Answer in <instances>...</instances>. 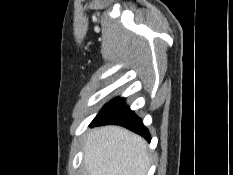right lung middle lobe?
<instances>
[{"instance_id": "dd1d6c3e", "label": "right lung middle lobe", "mask_w": 233, "mask_h": 175, "mask_svg": "<svg viewBox=\"0 0 233 175\" xmlns=\"http://www.w3.org/2000/svg\"><path fill=\"white\" fill-rule=\"evenodd\" d=\"M116 99L112 100L111 102H109L108 104H106L101 111H103L105 108H107L111 103H113Z\"/></svg>"}]
</instances>
